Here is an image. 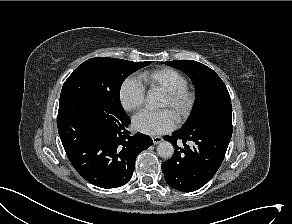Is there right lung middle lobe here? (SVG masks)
<instances>
[{
    "label": "right lung middle lobe",
    "mask_w": 292,
    "mask_h": 224,
    "mask_svg": "<svg viewBox=\"0 0 292 224\" xmlns=\"http://www.w3.org/2000/svg\"><path fill=\"white\" fill-rule=\"evenodd\" d=\"M109 57H96L83 62L65 81L60 100L80 98L111 113H125L120 103V88L134 71L149 65Z\"/></svg>",
    "instance_id": "dd1d6c3e"
}]
</instances>
